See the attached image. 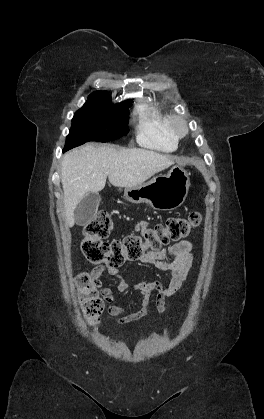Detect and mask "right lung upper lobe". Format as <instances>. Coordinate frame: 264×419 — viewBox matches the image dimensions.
Returning <instances> with one entry per match:
<instances>
[{"label": "right lung upper lobe", "mask_w": 264, "mask_h": 419, "mask_svg": "<svg viewBox=\"0 0 264 419\" xmlns=\"http://www.w3.org/2000/svg\"><path fill=\"white\" fill-rule=\"evenodd\" d=\"M91 95L92 96H107V97H110L108 93L102 92V91H96V92L92 93Z\"/></svg>", "instance_id": "right-lung-upper-lobe-1"}]
</instances>
